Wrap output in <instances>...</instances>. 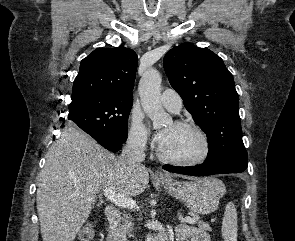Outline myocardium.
<instances>
[{
    "label": "myocardium",
    "mask_w": 295,
    "mask_h": 241,
    "mask_svg": "<svg viewBox=\"0 0 295 241\" xmlns=\"http://www.w3.org/2000/svg\"><path fill=\"white\" fill-rule=\"evenodd\" d=\"M174 125L180 128H188V129L194 130L198 134L202 142V152L198 157L194 159L180 160V159H175L165 155L164 152L162 151L161 144H160L157 150V155L159 159L162 160L163 162H166L175 166H181V167H194L206 162L212 152L211 140L208 134L206 133V131L200 125L192 121H177L174 123Z\"/></svg>",
    "instance_id": "f54148a6"
}]
</instances>
